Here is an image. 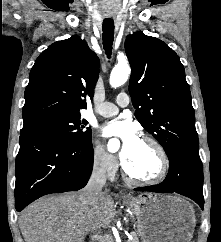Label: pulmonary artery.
Wrapping results in <instances>:
<instances>
[{"label": "pulmonary artery", "mask_w": 221, "mask_h": 242, "mask_svg": "<svg viewBox=\"0 0 221 242\" xmlns=\"http://www.w3.org/2000/svg\"><path fill=\"white\" fill-rule=\"evenodd\" d=\"M116 103L120 107H126L129 104V96L125 92H121L116 97ZM116 104L104 102L96 107L95 112L103 117H111L118 113L119 108Z\"/></svg>", "instance_id": "obj_1"}]
</instances>
